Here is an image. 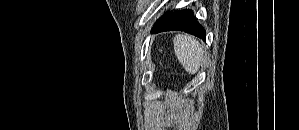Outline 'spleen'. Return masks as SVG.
I'll use <instances>...</instances> for the list:
<instances>
[{
    "instance_id": "spleen-1",
    "label": "spleen",
    "mask_w": 299,
    "mask_h": 130,
    "mask_svg": "<svg viewBox=\"0 0 299 130\" xmlns=\"http://www.w3.org/2000/svg\"><path fill=\"white\" fill-rule=\"evenodd\" d=\"M174 51L179 62L189 74L198 72L204 60V48L192 36L176 35L173 39Z\"/></svg>"
}]
</instances>
